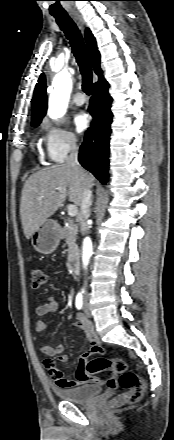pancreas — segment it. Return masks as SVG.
<instances>
[{"instance_id":"pancreas-1","label":"pancreas","mask_w":174,"mask_h":440,"mask_svg":"<svg viewBox=\"0 0 174 440\" xmlns=\"http://www.w3.org/2000/svg\"><path fill=\"white\" fill-rule=\"evenodd\" d=\"M78 232L77 224L73 220H68L65 226L60 230V235L65 239L68 245V257L71 258L78 253L76 244V235Z\"/></svg>"}]
</instances>
